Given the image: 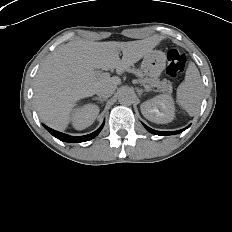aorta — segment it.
<instances>
[{"mask_svg": "<svg viewBox=\"0 0 232 232\" xmlns=\"http://www.w3.org/2000/svg\"><path fill=\"white\" fill-rule=\"evenodd\" d=\"M134 100V93L128 89V88H123L118 94V101L121 104L125 105H130L133 103Z\"/></svg>", "mask_w": 232, "mask_h": 232, "instance_id": "762f6f07", "label": "aorta"}]
</instances>
